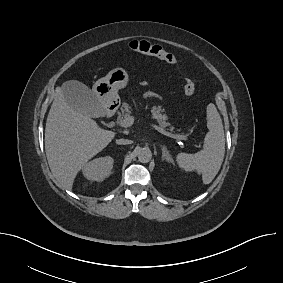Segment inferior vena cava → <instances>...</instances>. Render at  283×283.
I'll list each match as a JSON object with an SVG mask.
<instances>
[{"label":"inferior vena cava","mask_w":283,"mask_h":283,"mask_svg":"<svg viewBox=\"0 0 283 283\" xmlns=\"http://www.w3.org/2000/svg\"><path fill=\"white\" fill-rule=\"evenodd\" d=\"M116 143L119 145H127V144H131L132 141L128 139H118L116 140Z\"/></svg>","instance_id":"602c4592"}]
</instances>
